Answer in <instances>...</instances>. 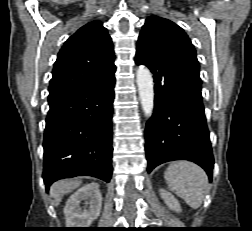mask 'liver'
<instances>
[{
  "instance_id": "liver-1",
  "label": "liver",
  "mask_w": 252,
  "mask_h": 231,
  "mask_svg": "<svg viewBox=\"0 0 252 231\" xmlns=\"http://www.w3.org/2000/svg\"><path fill=\"white\" fill-rule=\"evenodd\" d=\"M80 180H60L50 188V194L59 203L65 194L72 192L81 185Z\"/></svg>"
}]
</instances>
